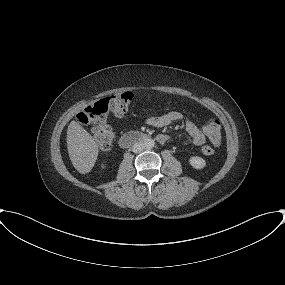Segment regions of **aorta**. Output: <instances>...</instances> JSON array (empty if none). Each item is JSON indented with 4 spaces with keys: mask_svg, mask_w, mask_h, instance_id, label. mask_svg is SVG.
Instances as JSON below:
<instances>
[{
    "mask_svg": "<svg viewBox=\"0 0 285 285\" xmlns=\"http://www.w3.org/2000/svg\"><path fill=\"white\" fill-rule=\"evenodd\" d=\"M144 145L147 149H151L154 147L155 145V142L153 139H147L145 142H144Z\"/></svg>",
    "mask_w": 285,
    "mask_h": 285,
    "instance_id": "762f6f07",
    "label": "aorta"
}]
</instances>
